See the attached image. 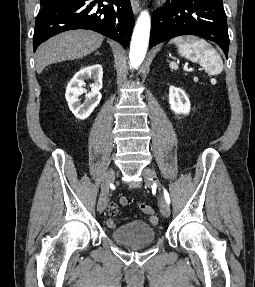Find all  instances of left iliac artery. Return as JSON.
<instances>
[{"instance_id": "44dca946", "label": "left iliac artery", "mask_w": 255, "mask_h": 287, "mask_svg": "<svg viewBox=\"0 0 255 287\" xmlns=\"http://www.w3.org/2000/svg\"><path fill=\"white\" fill-rule=\"evenodd\" d=\"M164 195H165L166 201L169 203L170 202V198H169V194H168L166 189H164Z\"/></svg>"}]
</instances>
